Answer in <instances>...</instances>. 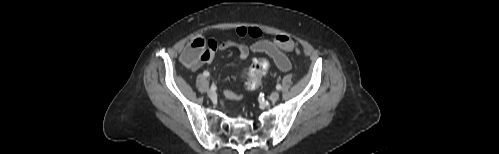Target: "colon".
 <instances>
[{"label":"colon","instance_id":"1","mask_svg":"<svg viewBox=\"0 0 499 154\" xmlns=\"http://www.w3.org/2000/svg\"><path fill=\"white\" fill-rule=\"evenodd\" d=\"M273 40L274 43L282 50L294 52L296 54H299L300 52L296 43L287 35H276ZM211 56L212 50L209 40L199 35L193 37L187 43L182 54V61L186 66L193 68L198 66L200 63L209 60ZM269 66L270 64L266 59H258L252 63L247 82L248 89L256 90L259 88L262 77L268 70Z\"/></svg>","mask_w":499,"mask_h":154}]
</instances>
